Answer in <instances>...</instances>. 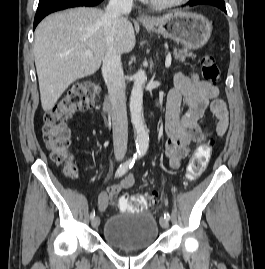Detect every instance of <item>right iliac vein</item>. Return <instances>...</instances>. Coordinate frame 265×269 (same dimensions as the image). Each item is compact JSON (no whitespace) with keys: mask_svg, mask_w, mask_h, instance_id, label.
<instances>
[{"mask_svg":"<svg viewBox=\"0 0 265 269\" xmlns=\"http://www.w3.org/2000/svg\"><path fill=\"white\" fill-rule=\"evenodd\" d=\"M99 224H100V219H99V217H94V218L92 219V226H93L94 228H96V227L99 226Z\"/></svg>","mask_w":265,"mask_h":269,"instance_id":"right-iliac-vein-1","label":"right iliac vein"}]
</instances>
